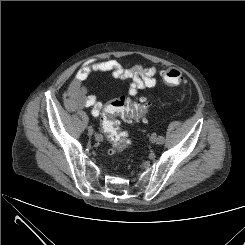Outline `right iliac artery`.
Listing matches in <instances>:
<instances>
[{
    "label": "right iliac artery",
    "instance_id": "obj_1",
    "mask_svg": "<svg viewBox=\"0 0 245 245\" xmlns=\"http://www.w3.org/2000/svg\"><path fill=\"white\" fill-rule=\"evenodd\" d=\"M98 140H102V135L99 134V136L97 137Z\"/></svg>",
    "mask_w": 245,
    "mask_h": 245
}]
</instances>
